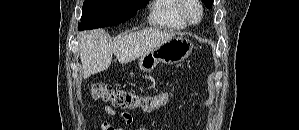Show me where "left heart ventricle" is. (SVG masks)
<instances>
[{
  "label": "left heart ventricle",
  "mask_w": 299,
  "mask_h": 130,
  "mask_svg": "<svg viewBox=\"0 0 299 130\" xmlns=\"http://www.w3.org/2000/svg\"><path fill=\"white\" fill-rule=\"evenodd\" d=\"M189 14L193 20H197L199 12L195 6H192L189 10Z\"/></svg>",
  "instance_id": "1"
}]
</instances>
